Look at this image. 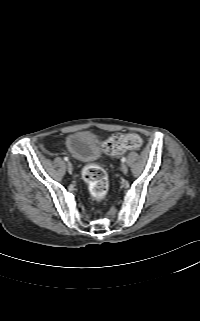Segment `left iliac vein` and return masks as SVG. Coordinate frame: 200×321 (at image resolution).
I'll return each instance as SVG.
<instances>
[{
	"mask_svg": "<svg viewBox=\"0 0 200 321\" xmlns=\"http://www.w3.org/2000/svg\"><path fill=\"white\" fill-rule=\"evenodd\" d=\"M121 169H122V172H123L124 174H127V172H128V167H127V165H126L125 163H122Z\"/></svg>",
	"mask_w": 200,
	"mask_h": 321,
	"instance_id": "1",
	"label": "left iliac vein"
}]
</instances>
